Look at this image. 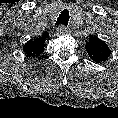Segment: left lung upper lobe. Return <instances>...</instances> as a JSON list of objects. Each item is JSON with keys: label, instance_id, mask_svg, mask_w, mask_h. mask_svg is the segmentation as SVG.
I'll list each match as a JSON object with an SVG mask.
<instances>
[{"label": "left lung upper lobe", "instance_id": "1", "mask_svg": "<svg viewBox=\"0 0 118 118\" xmlns=\"http://www.w3.org/2000/svg\"><path fill=\"white\" fill-rule=\"evenodd\" d=\"M89 57L97 63H102L108 59L111 50L108 45L98 37H91L85 45Z\"/></svg>", "mask_w": 118, "mask_h": 118}]
</instances>
